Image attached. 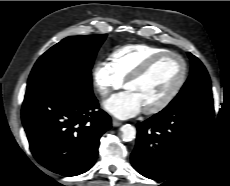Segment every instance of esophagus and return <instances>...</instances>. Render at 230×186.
<instances>
[{
    "label": "esophagus",
    "instance_id": "obj_1",
    "mask_svg": "<svg viewBox=\"0 0 230 186\" xmlns=\"http://www.w3.org/2000/svg\"><path fill=\"white\" fill-rule=\"evenodd\" d=\"M121 124H122V122L119 121V120H117V119H113V120H112V125H113L114 127H118V126H120Z\"/></svg>",
    "mask_w": 230,
    "mask_h": 186
}]
</instances>
